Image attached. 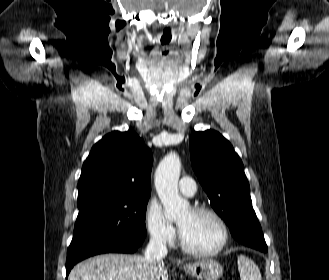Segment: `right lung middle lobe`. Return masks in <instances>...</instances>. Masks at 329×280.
<instances>
[{"instance_id":"obj_1","label":"right lung middle lobe","mask_w":329,"mask_h":280,"mask_svg":"<svg viewBox=\"0 0 329 280\" xmlns=\"http://www.w3.org/2000/svg\"><path fill=\"white\" fill-rule=\"evenodd\" d=\"M149 196H119L78 200L79 213L70 253L93 239H112L141 245L145 235V212Z\"/></svg>"}]
</instances>
